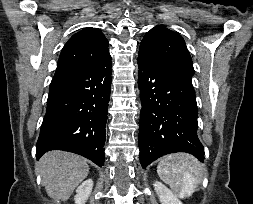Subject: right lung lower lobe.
Masks as SVG:
<instances>
[{
    "label": "right lung lower lobe",
    "instance_id": "98d812e1",
    "mask_svg": "<svg viewBox=\"0 0 253 204\" xmlns=\"http://www.w3.org/2000/svg\"><path fill=\"white\" fill-rule=\"evenodd\" d=\"M111 91V56L54 78L47 111L36 144L39 159L49 150L82 155L98 166L105 161L104 143Z\"/></svg>",
    "mask_w": 253,
    "mask_h": 204
}]
</instances>
